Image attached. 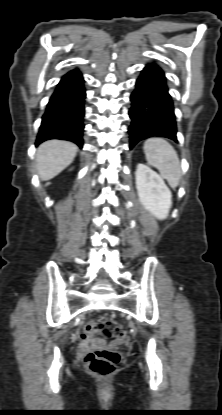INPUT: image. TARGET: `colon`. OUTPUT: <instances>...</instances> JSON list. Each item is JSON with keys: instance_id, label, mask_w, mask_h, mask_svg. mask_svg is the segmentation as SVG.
I'll return each mask as SVG.
<instances>
[{"instance_id": "5ec220e1", "label": "colon", "mask_w": 222, "mask_h": 415, "mask_svg": "<svg viewBox=\"0 0 222 415\" xmlns=\"http://www.w3.org/2000/svg\"><path fill=\"white\" fill-rule=\"evenodd\" d=\"M110 325V321L88 322L83 326L81 336L84 339L110 338L111 336L119 339L124 338L125 331L122 327L117 326L111 331ZM120 359V354L115 351L92 350L85 355L84 365L90 373L100 377H108L113 374Z\"/></svg>"}]
</instances>
